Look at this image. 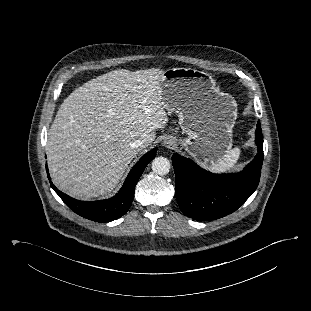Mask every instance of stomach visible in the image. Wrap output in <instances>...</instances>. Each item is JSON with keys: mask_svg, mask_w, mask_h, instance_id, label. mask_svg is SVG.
I'll return each mask as SVG.
<instances>
[{"mask_svg": "<svg viewBox=\"0 0 311 311\" xmlns=\"http://www.w3.org/2000/svg\"><path fill=\"white\" fill-rule=\"evenodd\" d=\"M159 87L163 107L178 115L187 134L182 147L203 167L219 162L232 147L233 97L220 92L211 75L192 68L164 71Z\"/></svg>", "mask_w": 311, "mask_h": 311, "instance_id": "1", "label": "stomach"}]
</instances>
